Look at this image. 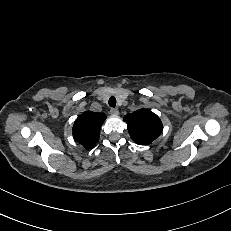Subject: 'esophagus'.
Here are the masks:
<instances>
[{
  "mask_svg": "<svg viewBox=\"0 0 231 231\" xmlns=\"http://www.w3.org/2000/svg\"><path fill=\"white\" fill-rule=\"evenodd\" d=\"M110 114L116 116L119 114V110L117 108H111Z\"/></svg>",
  "mask_w": 231,
  "mask_h": 231,
  "instance_id": "obj_1",
  "label": "esophagus"
}]
</instances>
